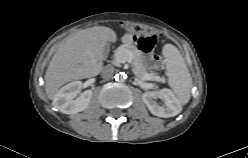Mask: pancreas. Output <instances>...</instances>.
I'll use <instances>...</instances> for the list:
<instances>
[{
	"label": "pancreas",
	"instance_id": "obj_1",
	"mask_svg": "<svg viewBox=\"0 0 248 158\" xmlns=\"http://www.w3.org/2000/svg\"><path fill=\"white\" fill-rule=\"evenodd\" d=\"M128 58L132 59V64L134 66V72L143 80L155 79L158 81H164V78H160L156 75L155 72H147L145 66L143 53L134 45L124 44L120 46L115 53V62L121 63L127 60Z\"/></svg>",
	"mask_w": 248,
	"mask_h": 158
}]
</instances>
